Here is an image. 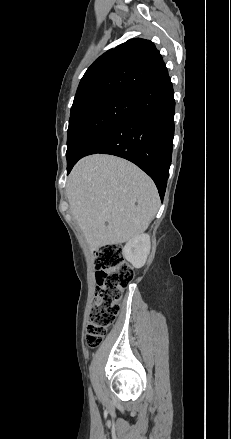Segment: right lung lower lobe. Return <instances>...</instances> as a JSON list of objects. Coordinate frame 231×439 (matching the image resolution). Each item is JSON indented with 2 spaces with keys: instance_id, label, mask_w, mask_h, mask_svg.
Returning a JSON list of instances; mask_svg holds the SVG:
<instances>
[{
  "instance_id": "98d812e1",
  "label": "right lung lower lobe",
  "mask_w": 231,
  "mask_h": 439,
  "mask_svg": "<svg viewBox=\"0 0 231 439\" xmlns=\"http://www.w3.org/2000/svg\"><path fill=\"white\" fill-rule=\"evenodd\" d=\"M134 94L139 111L95 135L80 156L67 165V174L84 156L95 153L116 155L146 172L163 199L174 137L175 101L170 77L167 75Z\"/></svg>"
}]
</instances>
